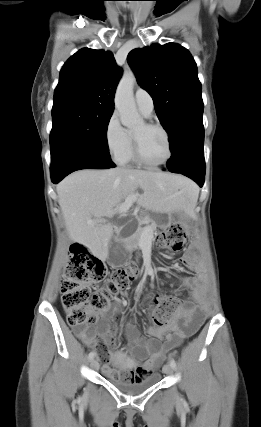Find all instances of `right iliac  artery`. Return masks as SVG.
<instances>
[{"label":"right iliac artery","mask_w":261,"mask_h":427,"mask_svg":"<svg viewBox=\"0 0 261 427\" xmlns=\"http://www.w3.org/2000/svg\"><path fill=\"white\" fill-rule=\"evenodd\" d=\"M94 356H95V353L94 352H90L89 355H88L89 360H92L94 358Z\"/></svg>","instance_id":"right-iliac-artery-1"}]
</instances>
